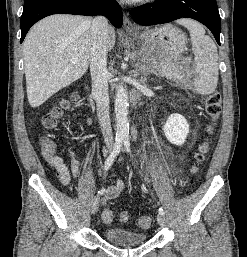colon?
<instances>
[{
    "mask_svg": "<svg viewBox=\"0 0 247 257\" xmlns=\"http://www.w3.org/2000/svg\"><path fill=\"white\" fill-rule=\"evenodd\" d=\"M69 108L68 103H64L62 106L54 109L52 112L46 114L43 118L42 125L45 129H53L58 124L59 120L63 116L64 112ZM204 109L207 118L209 119L210 124L208 125V132H212L213 125L219 119L221 114V95L218 92H213L205 97L204 99ZM41 153L45 158H51L56 155V145L53 141L48 138H43L40 143ZM209 144L207 141L203 142L197 153L195 154V164L192 167V171L197 170V165L204 161L205 156L208 152ZM115 214L111 210H106L103 213V220L105 223H112L115 219ZM118 220L122 223H126L130 220V215L127 212H121L117 216ZM138 225L147 229L151 225V219L148 216H141L138 219Z\"/></svg>",
    "mask_w": 247,
    "mask_h": 257,
    "instance_id": "5ec220e1",
    "label": "colon"
}]
</instances>
